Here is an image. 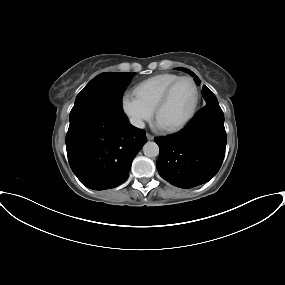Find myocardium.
I'll use <instances>...</instances> for the list:
<instances>
[{
  "label": "myocardium",
  "instance_id": "f54148a6",
  "mask_svg": "<svg viewBox=\"0 0 285 285\" xmlns=\"http://www.w3.org/2000/svg\"><path fill=\"white\" fill-rule=\"evenodd\" d=\"M182 80H188L192 83V85L194 87V91H195V100H194V104H193V107H192L190 113L188 114V116L183 121H181L180 123H178L174 126L165 128V130L167 132H170V133L180 131L184 127H186L192 121V119L195 117V115L198 111L199 104H200V96H201L200 95V89H199V86L196 83V81L190 76H180L168 85V87L165 89V91L163 92V94L159 98L158 102L156 103L155 108H154L155 118L157 119L160 110L168 102L172 91L174 90L176 85Z\"/></svg>",
  "mask_w": 285,
  "mask_h": 285
}]
</instances>
